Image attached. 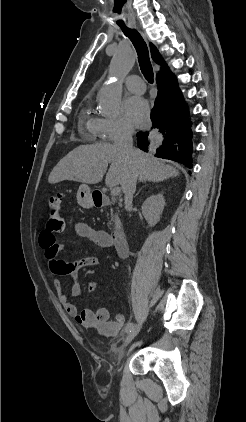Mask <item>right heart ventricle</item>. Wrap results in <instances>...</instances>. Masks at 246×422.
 Listing matches in <instances>:
<instances>
[{"label": "right heart ventricle", "instance_id": "e07e8e85", "mask_svg": "<svg viewBox=\"0 0 246 422\" xmlns=\"http://www.w3.org/2000/svg\"><path fill=\"white\" fill-rule=\"evenodd\" d=\"M79 125L81 131L88 136L92 138L99 136V118L92 113V110L89 107L82 110Z\"/></svg>", "mask_w": 246, "mask_h": 422}]
</instances>
